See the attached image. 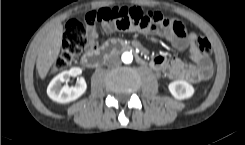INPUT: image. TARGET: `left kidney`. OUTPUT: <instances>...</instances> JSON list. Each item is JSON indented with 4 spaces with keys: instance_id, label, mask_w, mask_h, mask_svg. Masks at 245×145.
Listing matches in <instances>:
<instances>
[{
    "instance_id": "obj_1",
    "label": "left kidney",
    "mask_w": 245,
    "mask_h": 145,
    "mask_svg": "<svg viewBox=\"0 0 245 145\" xmlns=\"http://www.w3.org/2000/svg\"><path fill=\"white\" fill-rule=\"evenodd\" d=\"M168 89L174 98L178 100L188 99L193 96L194 88L186 81H174L168 85Z\"/></svg>"
}]
</instances>
